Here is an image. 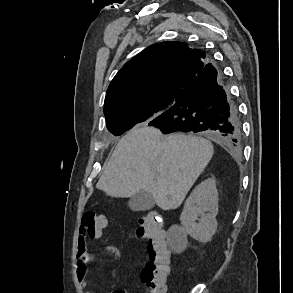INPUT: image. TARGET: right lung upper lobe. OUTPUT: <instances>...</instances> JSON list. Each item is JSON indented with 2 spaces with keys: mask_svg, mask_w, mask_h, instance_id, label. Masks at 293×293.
<instances>
[{
  "mask_svg": "<svg viewBox=\"0 0 293 293\" xmlns=\"http://www.w3.org/2000/svg\"><path fill=\"white\" fill-rule=\"evenodd\" d=\"M208 63L203 51L186 43L166 41L147 47L128 61L109 85L104 103L106 119L162 104L154 119L172 106Z\"/></svg>",
  "mask_w": 293,
  "mask_h": 293,
  "instance_id": "obj_1",
  "label": "right lung upper lobe"
}]
</instances>
